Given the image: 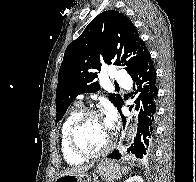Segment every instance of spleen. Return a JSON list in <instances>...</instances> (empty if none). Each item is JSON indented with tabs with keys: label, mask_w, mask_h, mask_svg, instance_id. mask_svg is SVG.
<instances>
[{
	"label": "spleen",
	"mask_w": 196,
	"mask_h": 182,
	"mask_svg": "<svg viewBox=\"0 0 196 182\" xmlns=\"http://www.w3.org/2000/svg\"><path fill=\"white\" fill-rule=\"evenodd\" d=\"M122 170H123L124 173H128V171L130 170V168L129 167L128 168L127 167H122Z\"/></svg>",
	"instance_id": "obj_1"
}]
</instances>
